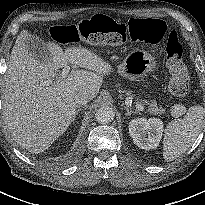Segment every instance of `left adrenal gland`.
Returning a JSON list of instances; mask_svg holds the SVG:
<instances>
[{
  "label": "left adrenal gland",
  "instance_id": "a2214340",
  "mask_svg": "<svg viewBox=\"0 0 205 205\" xmlns=\"http://www.w3.org/2000/svg\"><path fill=\"white\" fill-rule=\"evenodd\" d=\"M124 108L127 111L126 116H130L132 113H138V111H133V110L129 109L128 107H124Z\"/></svg>",
  "mask_w": 205,
  "mask_h": 205
}]
</instances>
